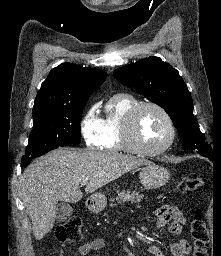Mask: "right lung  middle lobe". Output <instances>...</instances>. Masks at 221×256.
Segmentation results:
<instances>
[{
	"label": "right lung middle lobe",
	"mask_w": 221,
	"mask_h": 256,
	"mask_svg": "<svg viewBox=\"0 0 221 256\" xmlns=\"http://www.w3.org/2000/svg\"><path fill=\"white\" fill-rule=\"evenodd\" d=\"M87 100L75 106H63L33 111V130L30 133L22 166L59 146L79 145L80 120Z\"/></svg>",
	"instance_id": "right-lung-middle-lobe-1"
}]
</instances>
